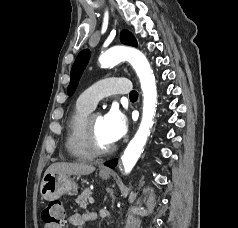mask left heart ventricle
<instances>
[{
    "label": "left heart ventricle",
    "instance_id": "b2bd125f",
    "mask_svg": "<svg viewBox=\"0 0 238 228\" xmlns=\"http://www.w3.org/2000/svg\"><path fill=\"white\" fill-rule=\"evenodd\" d=\"M93 127L95 130L97 142L101 147L106 148L113 144L105 133L103 118L101 116L95 115L93 117Z\"/></svg>",
    "mask_w": 238,
    "mask_h": 228
}]
</instances>
